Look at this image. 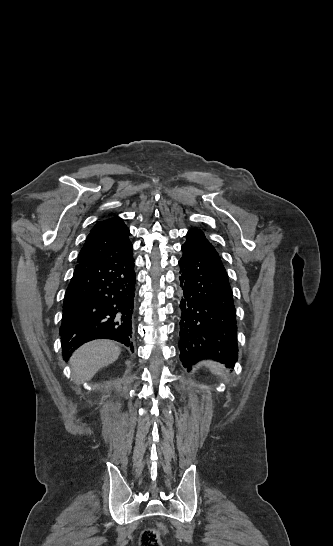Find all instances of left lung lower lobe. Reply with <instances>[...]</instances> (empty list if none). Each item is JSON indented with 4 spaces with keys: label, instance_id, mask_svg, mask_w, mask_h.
Wrapping results in <instances>:
<instances>
[{
    "label": "left lung lower lobe",
    "instance_id": "obj_1",
    "mask_svg": "<svg viewBox=\"0 0 333 546\" xmlns=\"http://www.w3.org/2000/svg\"><path fill=\"white\" fill-rule=\"evenodd\" d=\"M181 250L182 364L190 371L198 361L213 359L234 368L238 352L236 309L219 254L203 231L196 228L188 231Z\"/></svg>",
    "mask_w": 333,
    "mask_h": 546
}]
</instances>
